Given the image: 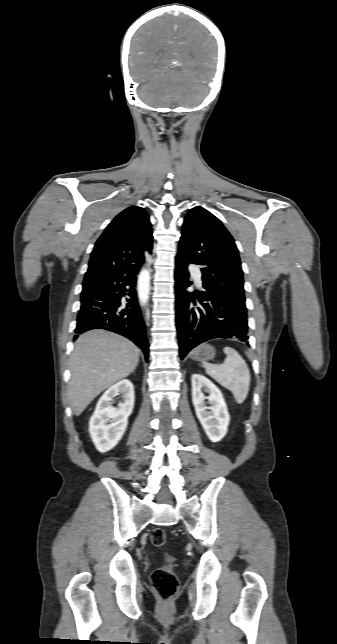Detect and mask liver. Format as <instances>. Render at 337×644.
I'll use <instances>...</instances> for the list:
<instances>
[{"instance_id":"liver-1","label":"liver","mask_w":337,"mask_h":644,"mask_svg":"<svg viewBox=\"0 0 337 644\" xmlns=\"http://www.w3.org/2000/svg\"><path fill=\"white\" fill-rule=\"evenodd\" d=\"M139 349L126 338L104 330L88 331L76 340L70 359V406L76 416L105 389L129 376L139 362Z\"/></svg>"}]
</instances>
